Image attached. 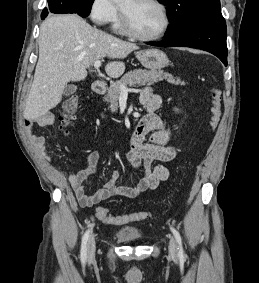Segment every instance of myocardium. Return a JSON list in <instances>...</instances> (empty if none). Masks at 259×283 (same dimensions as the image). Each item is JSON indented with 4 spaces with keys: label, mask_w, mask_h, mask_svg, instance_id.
<instances>
[{
    "label": "myocardium",
    "mask_w": 259,
    "mask_h": 283,
    "mask_svg": "<svg viewBox=\"0 0 259 283\" xmlns=\"http://www.w3.org/2000/svg\"><path fill=\"white\" fill-rule=\"evenodd\" d=\"M147 1L152 2L153 4L157 5L163 13L165 24H164L162 31L159 34L153 35V36H146V35H143L137 32L134 29L127 12L121 6H119L121 26H122L123 31L127 35L135 39L142 40V41L159 40L167 34L170 28V25H171V18H170L167 7L162 1L160 0H147Z\"/></svg>",
    "instance_id": "obj_1"
}]
</instances>
